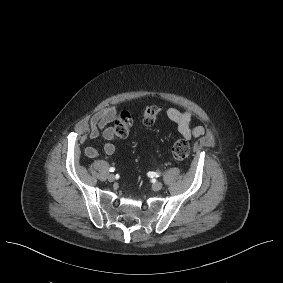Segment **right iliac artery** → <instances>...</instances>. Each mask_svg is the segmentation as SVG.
Wrapping results in <instances>:
<instances>
[{
	"mask_svg": "<svg viewBox=\"0 0 283 283\" xmlns=\"http://www.w3.org/2000/svg\"><path fill=\"white\" fill-rule=\"evenodd\" d=\"M109 171H110V172H114V171H115V168H114V167H111V168H109Z\"/></svg>",
	"mask_w": 283,
	"mask_h": 283,
	"instance_id": "1",
	"label": "right iliac artery"
}]
</instances>
